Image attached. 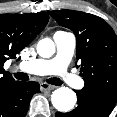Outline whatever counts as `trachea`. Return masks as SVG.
I'll return each mask as SVG.
<instances>
[{"instance_id":"3493384b","label":"trachea","mask_w":117,"mask_h":117,"mask_svg":"<svg viewBox=\"0 0 117 117\" xmlns=\"http://www.w3.org/2000/svg\"><path fill=\"white\" fill-rule=\"evenodd\" d=\"M14 76L18 80H22V81H28L29 80V76L26 73H23V72L14 73ZM47 82L49 84H52V85H61L63 83L59 78H56V77L48 79Z\"/></svg>"}]
</instances>
